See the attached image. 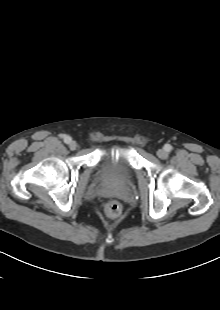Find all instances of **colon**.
I'll use <instances>...</instances> for the list:
<instances>
[{"instance_id":"1","label":"colon","mask_w":220,"mask_h":310,"mask_svg":"<svg viewBox=\"0 0 220 310\" xmlns=\"http://www.w3.org/2000/svg\"><path fill=\"white\" fill-rule=\"evenodd\" d=\"M105 210L109 216L116 217L121 213L122 207L118 202L110 201L106 204Z\"/></svg>"}]
</instances>
